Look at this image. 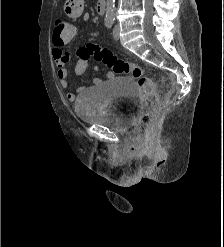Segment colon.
Listing matches in <instances>:
<instances>
[{"instance_id": "1", "label": "colon", "mask_w": 224, "mask_h": 247, "mask_svg": "<svg viewBox=\"0 0 224 247\" xmlns=\"http://www.w3.org/2000/svg\"><path fill=\"white\" fill-rule=\"evenodd\" d=\"M77 28L65 19H56L53 26V39L70 42L75 38ZM77 57L82 66L91 58L115 74H130L136 81L143 102L142 115L137 124V131L144 133L156 115L158 103L157 89L154 81L143 69L132 62L118 58L110 50L98 45L88 44L78 48ZM98 69V67H97Z\"/></svg>"}]
</instances>
